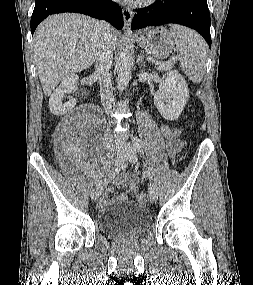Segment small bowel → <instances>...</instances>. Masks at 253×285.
I'll return each mask as SVG.
<instances>
[{
  "mask_svg": "<svg viewBox=\"0 0 253 285\" xmlns=\"http://www.w3.org/2000/svg\"><path fill=\"white\" fill-rule=\"evenodd\" d=\"M160 130L167 140V151L172 157H175L182 147V142L179 139L180 130L176 127H171L166 123H162L160 125ZM116 182L119 185H124L126 187V191L113 199L112 195L114 194V189L111 187L108 188L100 200L101 206L106 207L110 205L113 200L126 201L136 193V181L127 175L119 176Z\"/></svg>",
  "mask_w": 253,
  "mask_h": 285,
  "instance_id": "small-bowel-1",
  "label": "small bowel"
}]
</instances>
